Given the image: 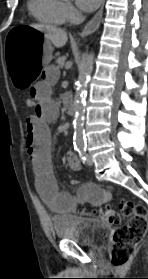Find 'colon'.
Returning <instances> with one entry per match:
<instances>
[{"mask_svg":"<svg viewBox=\"0 0 148 279\" xmlns=\"http://www.w3.org/2000/svg\"><path fill=\"white\" fill-rule=\"evenodd\" d=\"M25 104L34 108L35 97L29 94ZM96 214L103 221L118 225L113 233L111 262L114 266L126 264L148 230V210L132 200H125L118 209L101 208Z\"/></svg>","mask_w":148,"mask_h":279,"instance_id":"colon-1","label":"colon"}]
</instances>
